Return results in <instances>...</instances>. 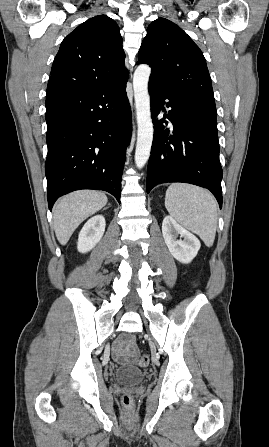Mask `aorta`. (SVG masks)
<instances>
[{"label": "aorta", "mask_w": 269, "mask_h": 447, "mask_svg": "<svg viewBox=\"0 0 269 447\" xmlns=\"http://www.w3.org/2000/svg\"><path fill=\"white\" fill-rule=\"evenodd\" d=\"M151 68L147 64H141L134 72L133 90L137 116V142L135 150V164L137 168H143L149 160L153 142V124L151 120L150 96L148 94V82Z\"/></svg>", "instance_id": "762f6f07"}]
</instances>
